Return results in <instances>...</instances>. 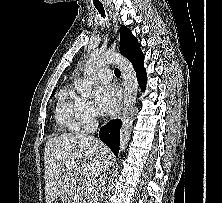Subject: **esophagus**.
I'll return each mask as SVG.
<instances>
[{
    "mask_svg": "<svg viewBox=\"0 0 222 203\" xmlns=\"http://www.w3.org/2000/svg\"><path fill=\"white\" fill-rule=\"evenodd\" d=\"M110 13H111V12H110ZM111 16H112V18H113L114 26H115V29H116V31H117V30H118V23H117L116 17H115L112 13H111ZM123 106H124V104H123V100H122L121 103H120V106H119V108H118V110H117V112H116V114L114 115V118H115V119L121 117L122 112H123Z\"/></svg>",
    "mask_w": 222,
    "mask_h": 203,
    "instance_id": "1",
    "label": "esophagus"
}]
</instances>
